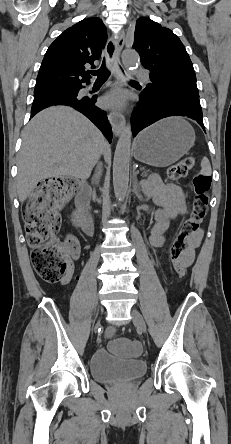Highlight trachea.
Returning <instances> with one entry per match:
<instances>
[{"label":"trachea","instance_id":"trachea-1","mask_svg":"<svg viewBox=\"0 0 231 444\" xmlns=\"http://www.w3.org/2000/svg\"><path fill=\"white\" fill-rule=\"evenodd\" d=\"M89 73L92 74L93 76H97L98 81L107 80L110 75V71L106 67L105 59L103 60V63H102V66L100 69L89 71Z\"/></svg>","mask_w":231,"mask_h":444}]
</instances>
